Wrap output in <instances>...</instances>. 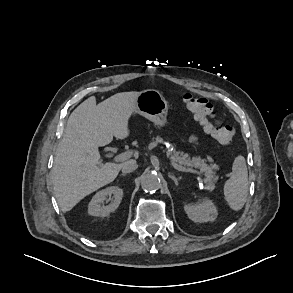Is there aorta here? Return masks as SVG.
<instances>
[{
  "mask_svg": "<svg viewBox=\"0 0 293 293\" xmlns=\"http://www.w3.org/2000/svg\"><path fill=\"white\" fill-rule=\"evenodd\" d=\"M141 187L145 192H155L161 187V179L157 173L149 172L143 175Z\"/></svg>",
  "mask_w": 293,
  "mask_h": 293,
  "instance_id": "obj_1",
  "label": "aorta"
}]
</instances>
